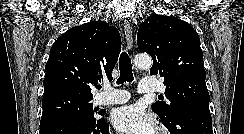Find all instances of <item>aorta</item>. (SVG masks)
Here are the masks:
<instances>
[{
	"label": "aorta",
	"instance_id": "obj_1",
	"mask_svg": "<svg viewBox=\"0 0 244 134\" xmlns=\"http://www.w3.org/2000/svg\"><path fill=\"white\" fill-rule=\"evenodd\" d=\"M134 61L135 65L140 69H149L152 66V59L148 55H137Z\"/></svg>",
	"mask_w": 244,
	"mask_h": 134
}]
</instances>
